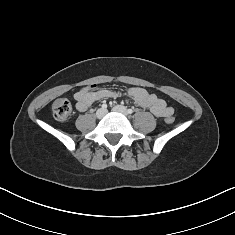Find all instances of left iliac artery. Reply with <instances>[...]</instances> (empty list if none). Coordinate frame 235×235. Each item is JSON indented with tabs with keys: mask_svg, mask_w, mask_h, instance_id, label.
Returning <instances> with one entry per match:
<instances>
[{
	"mask_svg": "<svg viewBox=\"0 0 235 235\" xmlns=\"http://www.w3.org/2000/svg\"><path fill=\"white\" fill-rule=\"evenodd\" d=\"M127 113H128V114H132V113H133V110L129 108V109H127Z\"/></svg>",
	"mask_w": 235,
	"mask_h": 235,
	"instance_id": "44dca946",
	"label": "left iliac artery"
}]
</instances>
